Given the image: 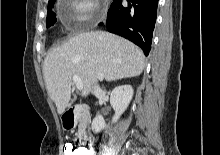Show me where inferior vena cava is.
I'll use <instances>...</instances> for the list:
<instances>
[{
  "instance_id": "obj_1",
  "label": "inferior vena cava",
  "mask_w": 220,
  "mask_h": 155,
  "mask_svg": "<svg viewBox=\"0 0 220 155\" xmlns=\"http://www.w3.org/2000/svg\"><path fill=\"white\" fill-rule=\"evenodd\" d=\"M101 91V88L97 85V84H95L94 86H93V94H97V93H99Z\"/></svg>"
}]
</instances>
